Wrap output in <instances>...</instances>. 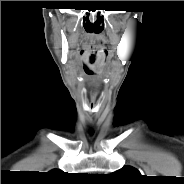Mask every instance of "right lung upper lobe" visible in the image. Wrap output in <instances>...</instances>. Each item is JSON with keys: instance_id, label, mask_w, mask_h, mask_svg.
Returning a JSON list of instances; mask_svg holds the SVG:
<instances>
[{"instance_id": "obj_1", "label": "right lung upper lobe", "mask_w": 184, "mask_h": 184, "mask_svg": "<svg viewBox=\"0 0 184 184\" xmlns=\"http://www.w3.org/2000/svg\"><path fill=\"white\" fill-rule=\"evenodd\" d=\"M51 172H59V170H52Z\"/></svg>"}]
</instances>
